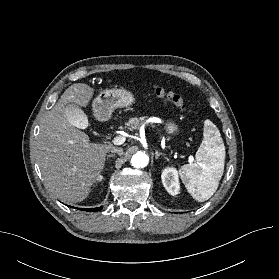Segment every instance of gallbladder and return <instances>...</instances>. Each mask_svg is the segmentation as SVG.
I'll list each match as a JSON object with an SVG mask.
<instances>
[{"mask_svg": "<svg viewBox=\"0 0 279 279\" xmlns=\"http://www.w3.org/2000/svg\"><path fill=\"white\" fill-rule=\"evenodd\" d=\"M67 118L76 127L84 128L85 127V117L82 110L73 104L66 106Z\"/></svg>", "mask_w": 279, "mask_h": 279, "instance_id": "gallbladder-1", "label": "gallbladder"}]
</instances>
